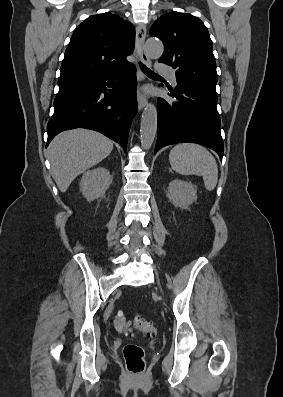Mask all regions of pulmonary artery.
Listing matches in <instances>:
<instances>
[{
	"mask_svg": "<svg viewBox=\"0 0 283 397\" xmlns=\"http://www.w3.org/2000/svg\"><path fill=\"white\" fill-rule=\"evenodd\" d=\"M158 71L160 73H162V74L167 75L171 79L173 85H175V86L177 85L176 74H175V71L173 69H171V68H169V67H167L165 65H159L158 66Z\"/></svg>",
	"mask_w": 283,
	"mask_h": 397,
	"instance_id": "obj_1",
	"label": "pulmonary artery"
}]
</instances>
